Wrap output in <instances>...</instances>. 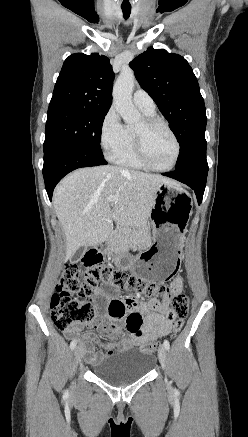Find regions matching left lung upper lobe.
<instances>
[{
    "label": "left lung upper lobe",
    "instance_id": "left-lung-upper-lobe-1",
    "mask_svg": "<svg viewBox=\"0 0 248 437\" xmlns=\"http://www.w3.org/2000/svg\"><path fill=\"white\" fill-rule=\"evenodd\" d=\"M129 65L170 123L180 144L176 168L183 166L207 146L206 109L192 68L182 56L153 48Z\"/></svg>",
    "mask_w": 248,
    "mask_h": 437
}]
</instances>
